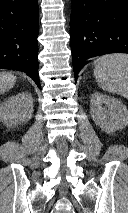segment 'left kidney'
Here are the masks:
<instances>
[{"label": "left kidney", "mask_w": 128, "mask_h": 213, "mask_svg": "<svg viewBox=\"0 0 128 213\" xmlns=\"http://www.w3.org/2000/svg\"><path fill=\"white\" fill-rule=\"evenodd\" d=\"M90 110L94 122L106 133H114L128 125L127 107L118 99L93 93Z\"/></svg>", "instance_id": "left-kidney-1"}]
</instances>
